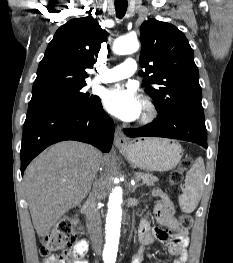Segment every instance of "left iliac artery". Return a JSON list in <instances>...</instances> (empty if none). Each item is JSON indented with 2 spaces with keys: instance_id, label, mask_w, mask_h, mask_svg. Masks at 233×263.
Returning <instances> with one entry per match:
<instances>
[{
  "instance_id": "1",
  "label": "left iliac artery",
  "mask_w": 233,
  "mask_h": 263,
  "mask_svg": "<svg viewBox=\"0 0 233 263\" xmlns=\"http://www.w3.org/2000/svg\"><path fill=\"white\" fill-rule=\"evenodd\" d=\"M109 263H115V261H111V262H109Z\"/></svg>"
}]
</instances>
